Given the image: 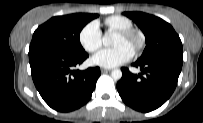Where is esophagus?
I'll return each mask as SVG.
<instances>
[{
    "label": "esophagus",
    "mask_w": 203,
    "mask_h": 123,
    "mask_svg": "<svg viewBox=\"0 0 203 123\" xmlns=\"http://www.w3.org/2000/svg\"><path fill=\"white\" fill-rule=\"evenodd\" d=\"M109 71H111V69L101 68V72H102V73H106V72H109Z\"/></svg>",
    "instance_id": "1"
}]
</instances>
